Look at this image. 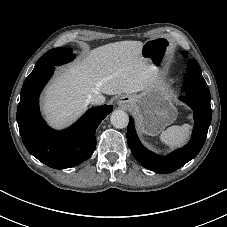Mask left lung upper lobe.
I'll use <instances>...</instances> for the list:
<instances>
[{
  "label": "left lung upper lobe",
  "instance_id": "1",
  "mask_svg": "<svg viewBox=\"0 0 227 227\" xmlns=\"http://www.w3.org/2000/svg\"><path fill=\"white\" fill-rule=\"evenodd\" d=\"M184 56L187 55L185 51L182 52ZM182 92L185 95L201 97L210 100L209 88L204 80L201 68L196 60L191 59L188 63V69L184 77Z\"/></svg>",
  "mask_w": 227,
  "mask_h": 227
}]
</instances>
